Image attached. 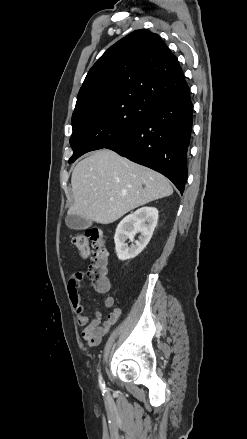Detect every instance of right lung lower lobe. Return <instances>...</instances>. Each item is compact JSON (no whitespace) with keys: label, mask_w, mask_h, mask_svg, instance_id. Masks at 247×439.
I'll return each instance as SVG.
<instances>
[{"label":"right lung lower lobe","mask_w":247,"mask_h":439,"mask_svg":"<svg viewBox=\"0 0 247 439\" xmlns=\"http://www.w3.org/2000/svg\"><path fill=\"white\" fill-rule=\"evenodd\" d=\"M189 89L151 105L138 125L107 149L158 171L181 191L192 129Z\"/></svg>","instance_id":"1"}]
</instances>
